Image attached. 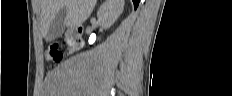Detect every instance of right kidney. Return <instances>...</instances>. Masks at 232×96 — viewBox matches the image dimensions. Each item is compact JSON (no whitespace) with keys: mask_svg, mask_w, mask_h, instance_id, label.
I'll use <instances>...</instances> for the list:
<instances>
[{"mask_svg":"<svg viewBox=\"0 0 232 96\" xmlns=\"http://www.w3.org/2000/svg\"><path fill=\"white\" fill-rule=\"evenodd\" d=\"M124 9V0H105L100 6L97 17L100 25L108 29L115 23Z\"/></svg>","mask_w":232,"mask_h":96,"instance_id":"obj_1","label":"right kidney"}]
</instances>
